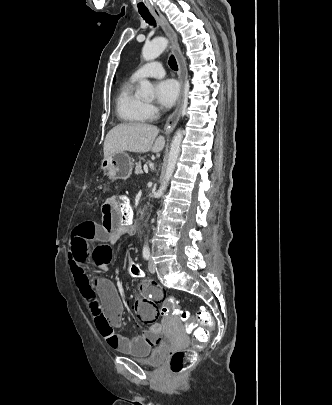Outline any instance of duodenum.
Wrapping results in <instances>:
<instances>
[{
	"label": "duodenum",
	"instance_id": "duodenum-1",
	"mask_svg": "<svg viewBox=\"0 0 332 405\" xmlns=\"http://www.w3.org/2000/svg\"><path fill=\"white\" fill-rule=\"evenodd\" d=\"M126 226H127L128 233H135L138 229L139 222L136 220H131L126 224Z\"/></svg>",
	"mask_w": 332,
	"mask_h": 405
}]
</instances>
